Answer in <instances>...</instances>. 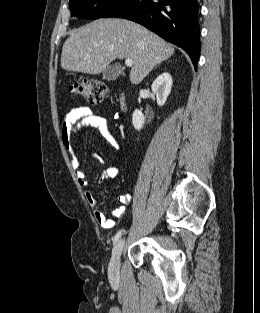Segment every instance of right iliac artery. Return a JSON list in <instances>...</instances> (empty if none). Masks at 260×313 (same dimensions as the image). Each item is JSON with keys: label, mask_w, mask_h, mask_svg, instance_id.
I'll return each instance as SVG.
<instances>
[{"label": "right iliac artery", "mask_w": 260, "mask_h": 313, "mask_svg": "<svg viewBox=\"0 0 260 313\" xmlns=\"http://www.w3.org/2000/svg\"><path fill=\"white\" fill-rule=\"evenodd\" d=\"M122 232H123V230H120L119 232H117V234L115 235V237H114V239H113V242H114V243H116V242L119 240V238H120L121 235H122Z\"/></svg>", "instance_id": "right-iliac-artery-1"}]
</instances>
